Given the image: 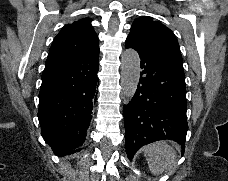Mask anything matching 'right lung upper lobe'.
Here are the masks:
<instances>
[{"label": "right lung upper lobe", "instance_id": "1", "mask_svg": "<svg viewBox=\"0 0 228 181\" xmlns=\"http://www.w3.org/2000/svg\"><path fill=\"white\" fill-rule=\"evenodd\" d=\"M99 49L98 37L89 19L64 26L55 37L45 65L66 61Z\"/></svg>", "mask_w": 228, "mask_h": 181}]
</instances>
